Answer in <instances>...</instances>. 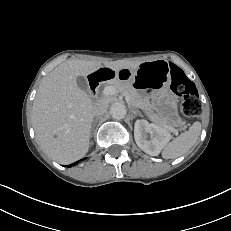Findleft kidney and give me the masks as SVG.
I'll use <instances>...</instances> for the list:
<instances>
[{
  "mask_svg": "<svg viewBox=\"0 0 231 231\" xmlns=\"http://www.w3.org/2000/svg\"><path fill=\"white\" fill-rule=\"evenodd\" d=\"M148 134L150 139H148ZM134 138L141 150L151 156H157L171 136L160 126L141 119L135 122Z\"/></svg>",
  "mask_w": 231,
  "mask_h": 231,
  "instance_id": "obj_1",
  "label": "left kidney"
}]
</instances>
